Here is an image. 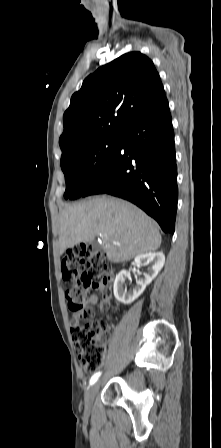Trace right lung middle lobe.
Returning a JSON list of instances; mask_svg holds the SVG:
<instances>
[{
    "label": "right lung middle lobe",
    "mask_w": 221,
    "mask_h": 448,
    "mask_svg": "<svg viewBox=\"0 0 221 448\" xmlns=\"http://www.w3.org/2000/svg\"><path fill=\"white\" fill-rule=\"evenodd\" d=\"M117 140L118 135L95 139L61 158V169L66 180L65 199L74 200L83 195L111 157Z\"/></svg>",
    "instance_id": "obj_1"
}]
</instances>
